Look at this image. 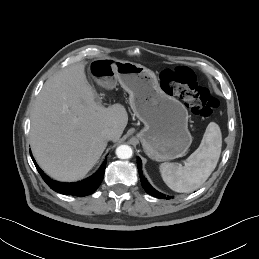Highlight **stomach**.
I'll use <instances>...</instances> for the list:
<instances>
[{
  "label": "stomach",
  "instance_id": "obj_1",
  "mask_svg": "<svg viewBox=\"0 0 259 259\" xmlns=\"http://www.w3.org/2000/svg\"><path fill=\"white\" fill-rule=\"evenodd\" d=\"M90 76L106 88L117 81L129 93L130 106L144 128L137 137L146 155L165 161L183 156L192 143L185 106L160 87L153 71L141 64L114 58L94 59Z\"/></svg>",
  "mask_w": 259,
  "mask_h": 259
}]
</instances>
